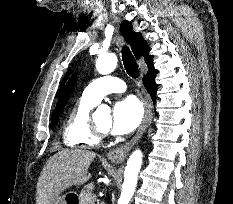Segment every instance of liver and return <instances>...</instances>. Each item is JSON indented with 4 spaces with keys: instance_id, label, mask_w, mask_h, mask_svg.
<instances>
[{
    "instance_id": "1",
    "label": "liver",
    "mask_w": 233,
    "mask_h": 204,
    "mask_svg": "<svg viewBox=\"0 0 233 204\" xmlns=\"http://www.w3.org/2000/svg\"><path fill=\"white\" fill-rule=\"evenodd\" d=\"M96 153L82 149H65L49 158L37 182L36 204H53L72 186L83 185Z\"/></svg>"
}]
</instances>
